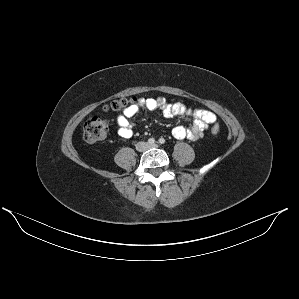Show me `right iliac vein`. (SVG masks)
<instances>
[{
    "mask_svg": "<svg viewBox=\"0 0 299 299\" xmlns=\"http://www.w3.org/2000/svg\"><path fill=\"white\" fill-rule=\"evenodd\" d=\"M146 149V145L144 143H140L138 146H137V150L139 151H143Z\"/></svg>",
    "mask_w": 299,
    "mask_h": 299,
    "instance_id": "63e3f726",
    "label": "right iliac vein"
}]
</instances>
